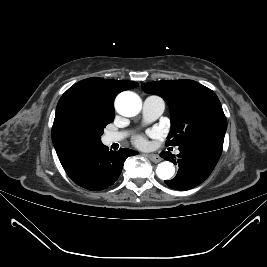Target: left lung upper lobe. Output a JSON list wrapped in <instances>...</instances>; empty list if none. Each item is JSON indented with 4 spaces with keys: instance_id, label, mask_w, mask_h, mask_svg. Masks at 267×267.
I'll return each instance as SVG.
<instances>
[{
    "instance_id": "5c2ea615",
    "label": "left lung upper lobe",
    "mask_w": 267,
    "mask_h": 267,
    "mask_svg": "<svg viewBox=\"0 0 267 267\" xmlns=\"http://www.w3.org/2000/svg\"><path fill=\"white\" fill-rule=\"evenodd\" d=\"M148 94L161 96L169 105L171 130L166 145L211 143L223 146L226 118L216 94L193 80L143 83Z\"/></svg>"
}]
</instances>
